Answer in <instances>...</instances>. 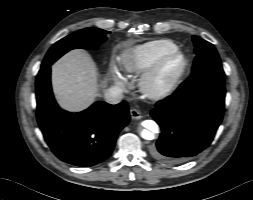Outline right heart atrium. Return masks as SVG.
<instances>
[{"instance_id": "obj_1", "label": "right heart atrium", "mask_w": 253, "mask_h": 200, "mask_svg": "<svg viewBox=\"0 0 253 200\" xmlns=\"http://www.w3.org/2000/svg\"><path fill=\"white\" fill-rule=\"evenodd\" d=\"M110 75L113 80V82L120 88H123L125 86L124 78L122 77L120 71L117 69V67L114 64L110 65Z\"/></svg>"}]
</instances>
